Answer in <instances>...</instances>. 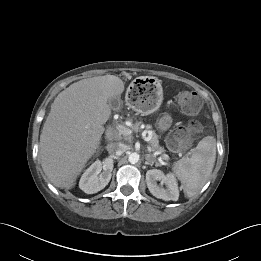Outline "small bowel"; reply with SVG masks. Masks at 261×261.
<instances>
[{
  "label": "small bowel",
  "instance_id": "small-bowel-1",
  "mask_svg": "<svg viewBox=\"0 0 261 261\" xmlns=\"http://www.w3.org/2000/svg\"><path fill=\"white\" fill-rule=\"evenodd\" d=\"M170 124H171V118L169 116H164L160 120V127L163 130L167 129L170 126Z\"/></svg>",
  "mask_w": 261,
  "mask_h": 261
}]
</instances>
